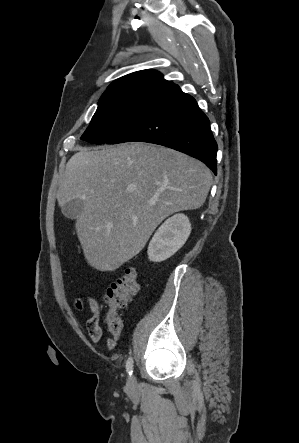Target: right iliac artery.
I'll return each mask as SVG.
<instances>
[{
    "instance_id": "1",
    "label": "right iliac artery",
    "mask_w": 299,
    "mask_h": 443,
    "mask_svg": "<svg viewBox=\"0 0 299 443\" xmlns=\"http://www.w3.org/2000/svg\"><path fill=\"white\" fill-rule=\"evenodd\" d=\"M126 370H127L129 375L132 374V372H133V359H132V357H129L127 362H126Z\"/></svg>"
}]
</instances>
